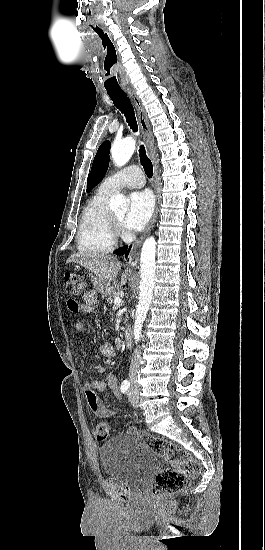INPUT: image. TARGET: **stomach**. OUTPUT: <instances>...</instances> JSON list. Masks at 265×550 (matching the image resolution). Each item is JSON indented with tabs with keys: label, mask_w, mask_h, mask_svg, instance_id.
<instances>
[{
	"label": "stomach",
	"mask_w": 265,
	"mask_h": 550,
	"mask_svg": "<svg viewBox=\"0 0 265 550\" xmlns=\"http://www.w3.org/2000/svg\"><path fill=\"white\" fill-rule=\"evenodd\" d=\"M97 288L102 291V290H105L106 288H108L110 285H107L105 283H100L98 280H97Z\"/></svg>",
	"instance_id": "obj_1"
}]
</instances>
